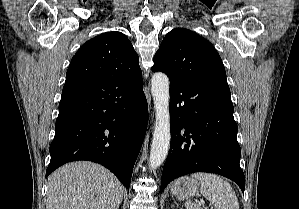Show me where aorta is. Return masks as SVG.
<instances>
[{
  "mask_svg": "<svg viewBox=\"0 0 299 209\" xmlns=\"http://www.w3.org/2000/svg\"><path fill=\"white\" fill-rule=\"evenodd\" d=\"M151 93L156 115L150 151V168H158L166 159L170 146L169 79L163 72H156L151 79Z\"/></svg>",
  "mask_w": 299,
  "mask_h": 209,
  "instance_id": "1",
  "label": "aorta"
}]
</instances>
